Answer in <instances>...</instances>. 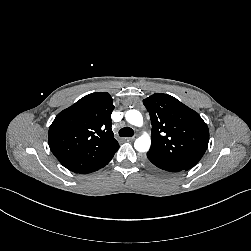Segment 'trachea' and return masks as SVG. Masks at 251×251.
Returning <instances> with one entry per match:
<instances>
[{"label": "trachea", "instance_id": "obj_1", "mask_svg": "<svg viewBox=\"0 0 251 251\" xmlns=\"http://www.w3.org/2000/svg\"><path fill=\"white\" fill-rule=\"evenodd\" d=\"M119 135L121 137H132L134 135V131L130 127H124L119 130Z\"/></svg>", "mask_w": 251, "mask_h": 251}]
</instances>
